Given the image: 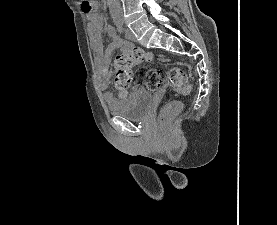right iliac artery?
Segmentation results:
<instances>
[{
    "mask_svg": "<svg viewBox=\"0 0 277 225\" xmlns=\"http://www.w3.org/2000/svg\"><path fill=\"white\" fill-rule=\"evenodd\" d=\"M115 25H116L118 31H119L120 33H122V32H123V28H122L123 22L120 21V20H118V21L115 22Z\"/></svg>",
    "mask_w": 277,
    "mask_h": 225,
    "instance_id": "82829eb1",
    "label": "right iliac artery"
}]
</instances>
